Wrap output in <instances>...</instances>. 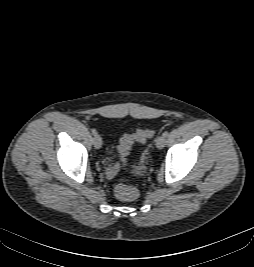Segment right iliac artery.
Segmentation results:
<instances>
[{"mask_svg": "<svg viewBox=\"0 0 254 267\" xmlns=\"http://www.w3.org/2000/svg\"><path fill=\"white\" fill-rule=\"evenodd\" d=\"M91 132L94 136L97 135V131L95 129H91Z\"/></svg>", "mask_w": 254, "mask_h": 267, "instance_id": "1", "label": "right iliac artery"}]
</instances>
